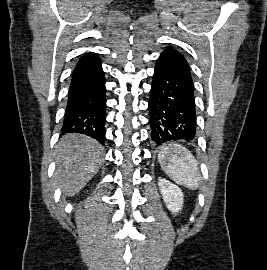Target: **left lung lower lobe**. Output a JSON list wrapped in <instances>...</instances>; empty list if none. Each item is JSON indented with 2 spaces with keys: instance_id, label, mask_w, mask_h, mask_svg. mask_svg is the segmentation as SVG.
I'll list each match as a JSON object with an SVG mask.
<instances>
[{
  "instance_id": "left-lung-lower-lobe-1",
  "label": "left lung lower lobe",
  "mask_w": 267,
  "mask_h": 270,
  "mask_svg": "<svg viewBox=\"0 0 267 270\" xmlns=\"http://www.w3.org/2000/svg\"><path fill=\"white\" fill-rule=\"evenodd\" d=\"M152 141L191 142L196 138L194 86L186 59L164 50L156 61L149 99Z\"/></svg>"
}]
</instances>
